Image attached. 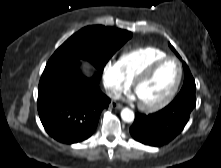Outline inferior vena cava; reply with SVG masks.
I'll return each mask as SVG.
<instances>
[{
    "label": "inferior vena cava",
    "instance_id": "inferior-vena-cava-1",
    "mask_svg": "<svg viewBox=\"0 0 221 168\" xmlns=\"http://www.w3.org/2000/svg\"><path fill=\"white\" fill-rule=\"evenodd\" d=\"M106 94L111 99H119L120 96H121V94L118 91H116L115 89H113V88L106 89Z\"/></svg>",
    "mask_w": 221,
    "mask_h": 168
}]
</instances>
